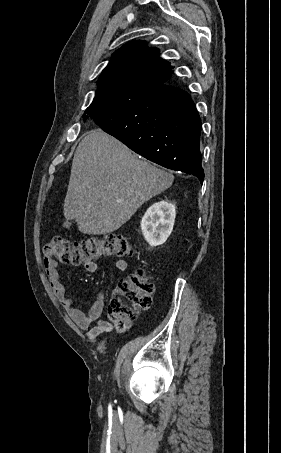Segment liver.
<instances>
[{"instance_id":"liver-1","label":"liver","mask_w":281,"mask_h":453,"mask_svg":"<svg viewBox=\"0 0 281 453\" xmlns=\"http://www.w3.org/2000/svg\"><path fill=\"white\" fill-rule=\"evenodd\" d=\"M173 180V174L136 158L123 142L93 128L73 156L64 216L75 218L83 235L114 233Z\"/></svg>"}]
</instances>
